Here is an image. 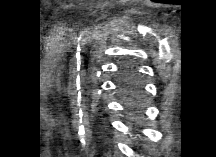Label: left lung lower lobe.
<instances>
[{"instance_id":"left-lung-lower-lobe-1","label":"left lung lower lobe","mask_w":216,"mask_h":157,"mask_svg":"<svg viewBox=\"0 0 216 157\" xmlns=\"http://www.w3.org/2000/svg\"><path fill=\"white\" fill-rule=\"evenodd\" d=\"M133 71L130 68H123V76L124 75H132ZM122 76V77H123ZM122 79V78H121ZM119 88L124 96H126L129 100H133L135 95V89L130 88L125 82L120 81Z\"/></svg>"}]
</instances>
